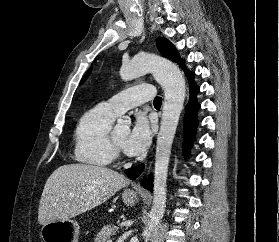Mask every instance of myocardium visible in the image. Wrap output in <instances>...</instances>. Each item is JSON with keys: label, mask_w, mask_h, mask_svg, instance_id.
<instances>
[{"label": "myocardium", "mask_w": 279, "mask_h": 242, "mask_svg": "<svg viewBox=\"0 0 279 242\" xmlns=\"http://www.w3.org/2000/svg\"><path fill=\"white\" fill-rule=\"evenodd\" d=\"M110 143L116 155H123L124 148L120 146L114 137V132H110Z\"/></svg>", "instance_id": "obj_1"}]
</instances>
